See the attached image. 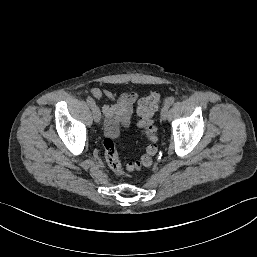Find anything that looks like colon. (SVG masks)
Returning <instances> with one entry per match:
<instances>
[{
	"mask_svg": "<svg viewBox=\"0 0 257 257\" xmlns=\"http://www.w3.org/2000/svg\"><path fill=\"white\" fill-rule=\"evenodd\" d=\"M160 96L158 93H151L142 98L138 104L139 125L144 130L148 145L144 154L136 161L127 164L128 171H137L143 167H149L153 163L154 156L158 149L155 144V128L153 126V116L159 106ZM104 157L109 168L118 176L124 174L121 162L118 157V152L111 137H106L103 140Z\"/></svg>",
	"mask_w": 257,
	"mask_h": 257,
	"instance_id": "colon-1",
	"label": "colon"
}]
</instances>
